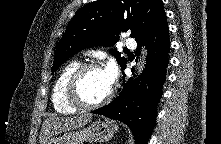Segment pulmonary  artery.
<instances>
[{"mask_svg":"<svg viewBox=\"0 0 221 144\" xmlns=\"http://www.w3.org/2000/svg\"><path fill=\"white\" fill-rule=\"evenodd\" d=\"M124 44L129 48H135L136 47V41L131 37H127L124 41Z\"/></svg>","mask_w":221,"mask_h":144,"instance_id":"e3ab8cb5","label":"pulmonary artery"}]
</instances>
